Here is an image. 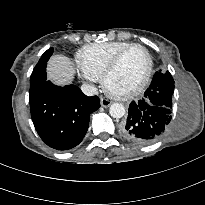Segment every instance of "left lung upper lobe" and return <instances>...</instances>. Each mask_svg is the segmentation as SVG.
I'll list each match as a JSON object with an SVG mask.
<instances>
[{
	"mask_svg": "<svg viewBox=\"0 0 205 205\" xmlns=\"http://www.w3.org/2000/svg\"><path fill=\"white\" fill-rule=\"evenodd\" d=\"M157 87H160L164 90L165 95L167 96L166 101L172 100V95L174 93V80L169 71L161 72L160 70L159 72L155 73L150 87L146 90L144 94V98H148V96H151L153 94L151 91L157 90Z\"/></svg>",
	"mask_w": 205,
	"mask_h": 205,
	"instance_id": "1",
	"label": "left lung upper lobe"
}]
</instances>
